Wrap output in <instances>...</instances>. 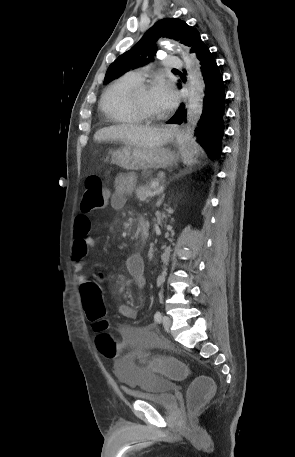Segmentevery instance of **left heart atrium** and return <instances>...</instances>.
Listing matches in <instances>:
<instances>
[{"label": "left heart atrium", "mask_w": 295, "mask_h": 457, "mask_svg": "<svg viewBox=\"0 0 295 457\" xmlns=\"http://www.w3.org/2000/svg\"><path fill=\"white\" fill-rule=\"evenodd\" d=\"M152 95L156 104L162 111L172 108L177 100L176 92L171 83L166 80H159L152 88Z\"/></svg>", "instance_id": "39dd6f15"}]
</instances>
